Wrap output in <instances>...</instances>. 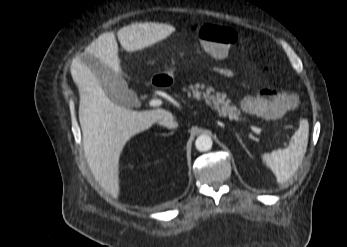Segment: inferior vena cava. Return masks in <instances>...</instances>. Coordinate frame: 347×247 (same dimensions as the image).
Wrapping results in <instances>:
<instances>
[{
  "instance_id": "inferior-vena-cava-1",
  "label": "inferior vena cava",
  "mask_w": 347,
  "mask_h": 247,
  "mask_svg": "<svg viewBox=\"0 0 347 247\" xmlns=\"http://www.w3.org/2000/svg\"><path fill=\"white\" fill-rule=\"evenodd\" d=\"M158 123L169 129H175L178 127L177 121L174 120L172 114L168 111H164V113L161 116H159Z\"/></svg>"
}]
</instances>
